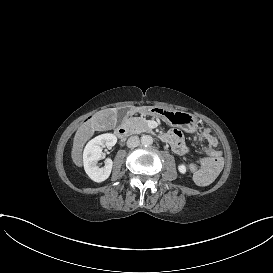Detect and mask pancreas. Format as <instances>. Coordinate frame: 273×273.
Returning <instances> with one entry per match:
<instances>
[{
  "instance_id": "obj_1",
  "label": "pancreas",
  "mask_w": 273,
  "mask_h": 273,
  "mask_svg": "<svg viewBox=\"0 0 273 273\" xmlns=\"http://www.w3.org/2000/svg\"><path fill=\"white\" fill-rule=\"evenodd\" d=\"M126 125L131 129L133 134H140L143 132L152 133V129L148 126V122L142 117H131L127 119Z\"/></svg>"
}]
</instances>
